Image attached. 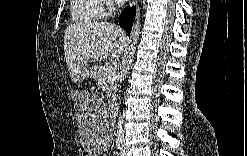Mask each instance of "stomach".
I'll return each instance as SVG.
<instances>
[{
    "instance_id": "stomach-1",
    "label": "stomach",
    "mask_w": 247,
    "mask_h": 156,
    "mask_svg": "<svg viewBox=\"0 0 247 156\" xmlns=\"http://www.w3.org/2000/svg\"><path fill=\"white\" fill-rule=\"evenodd\" d=\"M89 75L93 78H96L98 75V67H93L90 69L87 65L84 66L81 72V76L83 78H87Z\"/></svg>"
}]
</instances>
